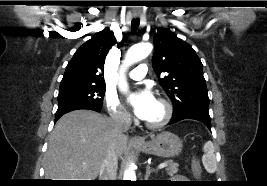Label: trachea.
Returning a JSON list of instances; mask_svg holds the SVG:
<instances>
[{
  "label": "trachea",
  "instance_id": "3493384b",
  "mask_svg": "<svg viewBox=\"0 0 267 186\" xmlns=\"http://www.w3.org/2000/svg\"><path fill=\"white\" fill-rule=\"evenodd\" d=\"M139 24H140V20L138 18L132 20L131 25H132V29L134 32L138 28Z\"/></svg>",
  "mask_w": 267,
  "mask_h": 186
}]
</instances>
